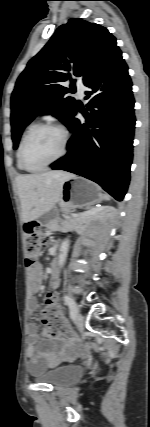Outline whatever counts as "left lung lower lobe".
Wrapping results in <instances>:
<instances>
[{
	"mask_svg": "<svg viewBox=\"0 0 150 427\" xmlns=\"http://www.w3.org/2000/svg\"><path fill=\"white\" fill-rule=\"evenodd\" d=\"M84 85L89 88L87 109L76 105L66 123L68 153L51 166L88 178L121 201L130 181L136 120L132 82L118 47ZM78 111L84 123L75 118Z\"/></svg>",
	"mask_w": 150,
	"mask_h": 427,
	"instance_id": "1",
	"label": "left lung lower lobe"
}]
</instances>
